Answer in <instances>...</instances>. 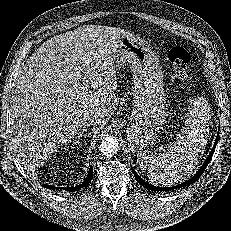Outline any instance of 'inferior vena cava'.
<instances>
[{
    "label": "inferior vena cava",
    "instance_id": "inferior-vena-cava-1",
    "mask_svg": "<svg viewBox=\"0 0 231 231\" xmlns=\"http://www.w3.org/2000/svg\"><path fill=\"white\" fill-rule=\"evenodd\" d=\"M95 123H96V119L94 117L87 116L82 119L80 127L87 128L95 125Z\"/></svg>",
    "mask_w": 231,
    "mask_h": 231
}]
</instances>
